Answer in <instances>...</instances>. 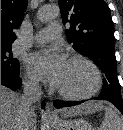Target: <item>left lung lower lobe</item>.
<instances>
[{
	"label": "left lung lower lobe",
	"instance_id": "1",
	"mask_svg": "<svg viewBox=\"0 0 123 130\" xmlns=\"http://www.w3.org/2000/svg\"><path fill=\"white\" fill-rule=\"evenodd\" d=\"M96 99L104 100V99H102L101 97H98V98H96ZM80 103H82V102H61V101H55V102H54V106H55L56 108H63V107L75 106V105H78V104H80ZM115 106H116V107L119 109V111L123 114V107L117 106V105H115Z\"/></svg>",
	"mask_w": 123,
	"mask_h": 130
}]
</instances>
